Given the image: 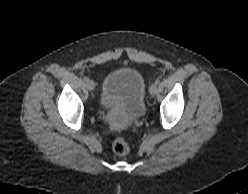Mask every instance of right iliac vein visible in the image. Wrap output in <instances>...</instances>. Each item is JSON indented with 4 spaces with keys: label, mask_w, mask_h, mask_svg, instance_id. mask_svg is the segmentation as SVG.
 <instances>
[{
    "label": "right iliac vein",
    "mask_w": 248,
    "mask_h": 194,
    "mask_svg": "<svg viewBox=\"0 0 248 194\" xmlns=\"http://www.w3.org/2000/svg\"><path fill=\"white\" fill-rule=\"evenodd\" d=\"M86 85H87L88 90H90V91L94 90V88H95V84H94V82L91 81V80H89V81L86 83Z\"/></svg>",
    "instance_id": "1"
}]
</instances>
